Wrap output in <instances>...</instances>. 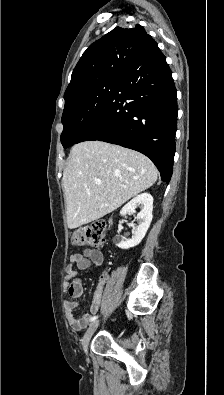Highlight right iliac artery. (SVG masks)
<instances>
[{
    "instance_id": "82829eb1",
    "label": "right iliac artery",
    "mask_w": 224,
    "mask_h": 395,
    "mask_svg": "<svg viewBox=\"0 0 224 395\" xmlns=\"http://www.w3.org/2000/svg\"><path fill=\"white\" fill-rule=\"evenodd\" d=\"M97 318H98V316H93V317H91L90 322L95 321Z\"/></svg>"
}]
</instances>
